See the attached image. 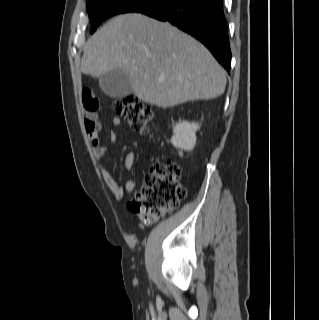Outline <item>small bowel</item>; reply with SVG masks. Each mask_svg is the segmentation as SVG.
Masks as SVG:
<instances>
[{"mask_svg": "<svg viewBox=\"0 0 319 320\" xmlns=\"http://www.w3.org/2000/svg\"><path fill=\"white\" fill-rule=\"evenodd\" d=\"M82 102L84 105V125L86 132L93 143L95 158L97 160H102L107 153V148L99 141V131L101 129V123L99 122L98 116L99 103L97 99L94 98L93 92L87 88L82 90ZM112 124L115 127H120L122 125V121L119 117H114L112 119ZM110 138L112 141H116L118 138L117 132L111 131ZM135 159L136 156L133 152L126 154L124 158V167L126 170H130L133 167ZM101 175L103 181L117 199H122L125 192L132 193L135 191L136 183L134 180H128L123 188L106 168L101 167Z\"/></svg>", "mask_w": 319, "mask_h": 320, "instance_id": "c3829d8e", "label": "small bowel"}]
</instances>
